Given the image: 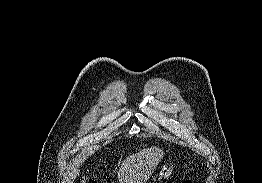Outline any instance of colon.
<instances>
[{
	"label": "colon",
	"mask_w": 262,
	"mask_h": 183,
	"mask_svg": "<svg viewBox=\"0 0 262 183\" xmlns=\"http://www.w3.org/2000/svg\"><path fill=\"white\" fill-rule=\"evenodd\" d=\"M83 183H95V182H92L91 180H86ZM182 183H193V182L191 180H184Z\"/></svg>",
	"instance_id": "5ec220e1"
}]
</instances>
